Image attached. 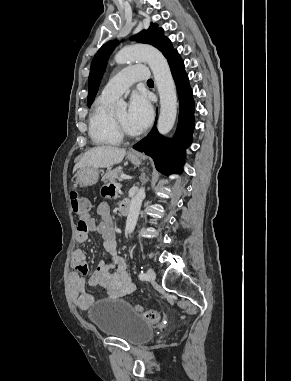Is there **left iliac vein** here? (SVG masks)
<instances>
[{
  "label": "left iliac vein",
  "mask_w": 291,
  "mask_h": 381,
  "mask_svg": "<svg viewBox=\"0 0 291 381\" xmlns=\"http://www.w3.org/2000/svg\"><path fill=\"white\" fill-rule=\"evenodd\" d=\"M147 279L150 282H155V280H156V274H155L154 270L151 268L147 270Z\"/></svg>",
  "instance_id": "1"
}]
</instances>
